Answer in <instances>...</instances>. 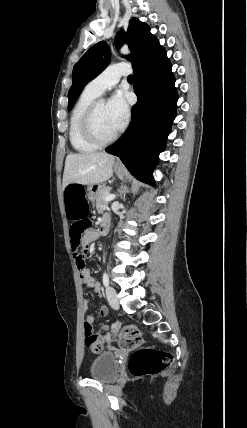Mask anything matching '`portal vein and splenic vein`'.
<instances>
[{"instance_id":"obj_1","label":"portal vein and splenic vein","mask_w":247,"mask_h":428,"mask_svg":"<svg viewBox=\"0 0 247 428\" xmlns=\"http://www.w3.org/2000/svg\"><path fill=\"white\" fill-rule=\"evenodd\" d=\"M115 199V195L114 194H109L105 197V200L108 201H112Z\"/></svg>"}]
</instances>
